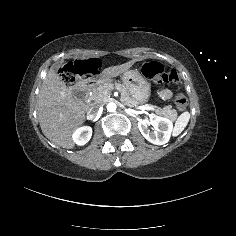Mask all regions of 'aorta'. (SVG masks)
Masks as SVG:
<instances>
[{"instance_id": "aorta-1", "label": "aorta", "mask_w": 236, "mask_h": 236, "mask_svg": "<svg viewBox=\"0 0 236 236\" xmlns=\"http://www.w3.org/2000/svg\"><path fill=\"white\" fill-rule=\"evenodd\" d=\"M116 108H117V106H116V104L114 102H110V103L107 104V110L109 112L116 111Z\"/></svg>"}]
</instances>
